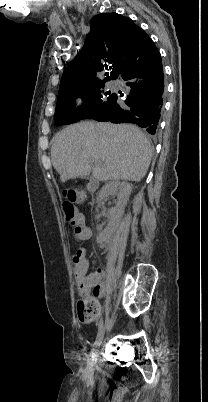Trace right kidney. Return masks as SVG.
Masks as SVG:
<instances>
[{
	"mask_svg": "<svg viewBox=\"0 0 208 402\" xmlns=\"http://www.w3.org/2000/svg\"><path fill=\"white\" fill-rule=\"evenodd\" d=\"M131 194V186L128 184V182H119V180H114V182H107L103 188H101L99 194H98V206L97 208H100L104 198H107V196H117L118 200L116 202L115 208H111V210H108L109 216H113V218H116V220H120L124 214L125 206H127V202L129 200V196ZM115 230L113 228H110L109 232L108 230H105L103 234H100L97 238L98 244H101V242H107V240H111Z\"/></svg>",
	"mask_w": 208,
	"mask_h": 402,
	"instance_id": "ca27d5eb",
	"label": "right kidney"
}]
</instances>
